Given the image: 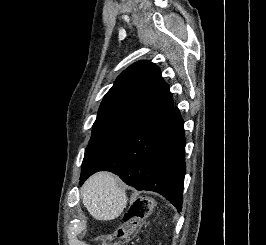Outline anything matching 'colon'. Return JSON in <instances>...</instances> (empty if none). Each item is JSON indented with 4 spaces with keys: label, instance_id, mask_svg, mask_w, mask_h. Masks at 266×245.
I'll return each mask as SVG.
<instances>
[{
    "label": "colon",
    "instance_id": "colon-1",
    "mask_svg": "<svg viewBox=\"0 0 266 245\" xmlns=\"http://www.w3.org/2000/svg\"><path fill=\"white\" fill-rule=\"evenodd\" d=\"M153 208L150 198L135 199L125 211L117 228L105 234L101 241L105 245H133V240Z\"/></svg>",
    "mask_w": 266,
    "mask_h": 245
}]
</instances>
